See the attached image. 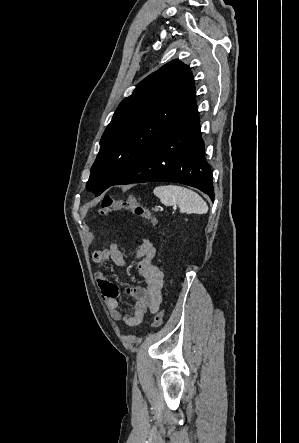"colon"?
<instances>
[{"label":"colon","mask_w":299,"mask_h":443,"mask_svg":"<svg viewBox=\"0 0 299 443\" xmlns=\"http://www.w3.org/2000/svg\"><path fill=\"white\" fill-rule=\"evenodd\" d=\"M116 211H127L134 215L140 216L142 218H145L155 224L157 222L156 217L147 209L145 208L138 197L134 195L127 196L123 199H113L110 196H105L100 203V207L98 209V214L101 216L107 215L112 212ZM165 316V310H160L155 317L153 318V321L151 323L152 328L159 327L164 319Z\"/></svg>","instance_id":"obj_1"}]
</instances>
